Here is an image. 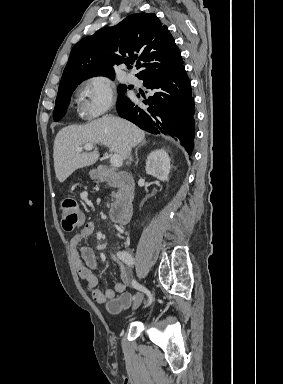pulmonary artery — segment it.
<instances>
[{
  "label": "pulmonary artery",
  "mask_w": 283,
  "mask_h": 384,
  "mask_svg": "<svg viewBox=\"0 0 283 384\" xmlns=\"http://www.w3.org/2000/svg\"><path fill=\"white\" fill-rule=\"evenodd\" d=\"M125 79L130 84L140 85V81L132 73H127Z\"/></svg>",
  "instance_id": "e3ab8cb5"
}]
</instances>
